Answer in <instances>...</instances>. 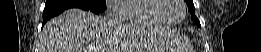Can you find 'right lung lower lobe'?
<instances>
[{"label":"right lung lower lobe","mask_w":261,"mask_h":52,"mask_svg":"<svg viewBox=\"0 0 261 52\" xmlns=\"http://www.w3.org/2000/svg\"><path fill=\"white\" fill-rule=\"evenodd\" d=\"M69 8H81L83 10H90L92 12H95L96 14H99L100 11H96L93 9H89L86 7L78 6V5H69L63 2H49L46 3L44 8V19H43V25L53 16H56L63 12L66 9Z\"/></svg>","instance_id":"98d812e1"}]
</instances>
